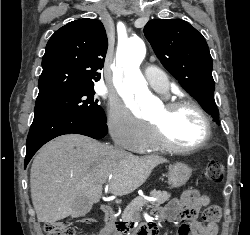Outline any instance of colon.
I'll use <instances>...</instances> for the list:
<instances>
[{
    "instance_id": "5ec220e1",
    "label": "colon",
    "mask_w": 250,
    "mask_h": 235,
    "mask_svg": "<svg viewBox=\"0 0 250 235\" xmlns=\"http://www.w3.org/2000/svg\"><path fill=\"white\" fill-rule=\"evenodd\" d=\"M204 177L208 182L219 183L223 179V169L219 162H209L204 168ZM221 218V207L218 204L208 206L203 212V219L209 225H218ZM90 223L91 219L82 220ZM45 232L47 235H76L75 227L67 221L46 222Z\"/></svg>"
}]
</instances>
